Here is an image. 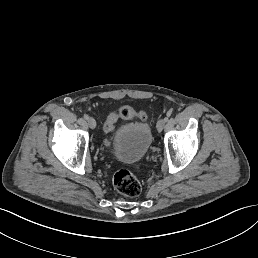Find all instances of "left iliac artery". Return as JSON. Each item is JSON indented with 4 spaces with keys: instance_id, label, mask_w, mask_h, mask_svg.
Returning <instances> with one entry per match:
<instances>
[{
    "instance_id": "left-iliac-artery-1",
    "label": "left iliac artery",
    "mask_w": 258,
    "mask_h": 258,
    "mask_svg": "<svg viewBox=\"0 0 258 258\" xmlns=\"http://www.w3.org/2000/svg\"><path fill=\"white\" fill-rule=\"evenodd\" d=\"M168 120H169V118H168V117H165V118H164V121H165V122H167Z\"/></svg>"
}]
</instances>
